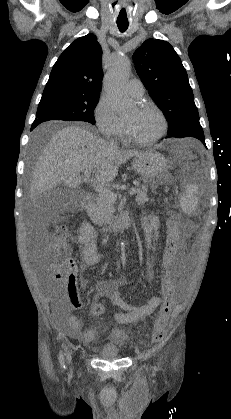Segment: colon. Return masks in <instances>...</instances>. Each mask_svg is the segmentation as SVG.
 <instances>
[{
    "label": "colon",
    "mask_w": 231,
    "mask_h": 419,
    "mask_svg": "<svg viewBox=\"0 0 231 419\" xmlns=\"http://www.w3.org/2000/svg\"><path fill=\"white\" fill-rule=\"evenodd\" d=\"M68 235L65 226H59L53 233L52 240L49 242L45 250V259L47 266L55 280L62 281L68 288H74L76 285L75 280V266L70 260V247L66 241ZM180 240L178 239V232L176 229V219L170 220L169 235L167 244L164 248L163 262L170 264L174 262L179 255ZM162 292L163 305L158 313L155 329L154 340L161 341L166 335V318L170 313L174 297L180 291V286L172 273L162 274ZM95 315H101L104 312V307L99 304L93 308ZM116 340H125V334L121 330H115L113 334Z\"/></svg>",
    "instance_id": "colon-1"
}]
</instances>
